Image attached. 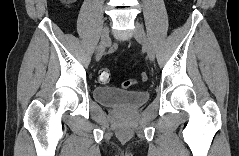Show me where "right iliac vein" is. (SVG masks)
<instances>
[{
  "mask_svg": "<svg viewBox=\"0 0 239 156\" xmlns=\"http://www.w3.org/2000/svg\"><path fill=\"white\" fill-rule=\"evenodd\" d=\"M109 41V27L105 26L101 34V41L97 49L96 60L99 61L105 51V48Z\"/></svg>",
  "mask_w": 239,
  "mask_h": 156,
  "instance_id": "63e3f726",
  "label": "right iliac vein"
}]
</instances>
